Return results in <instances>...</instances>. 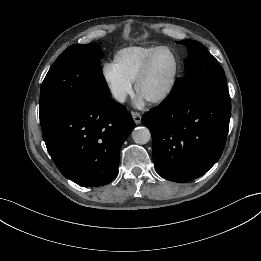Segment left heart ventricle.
<instances>
[{
  "instance_id": "1",
  "label": "left heart ventricle",
  "mask_w": 261,
  "mask_h": 261,
  "mask_svg": "<svg viewBox=\"0 0 261 261\" xmlns=\"http://www.w3.org/2000/svg\"><path fill=\"white\" fill-rule=\"evenodd\" d=\"M174 70V58L169 51H160L153 59L149 73L139 88V95L149 98L162 92Z\"/></svg>"
}]
</instances>
